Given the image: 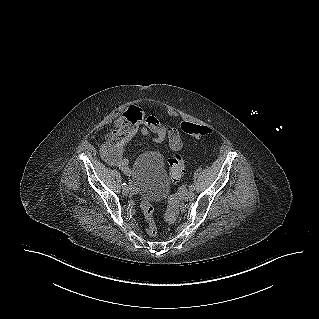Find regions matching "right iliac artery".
Masks as SVG:
<instances>
[{
    "label": "right iliac artery",
    "mask_w": 319,
    "mask_h": 319,
    "mask_svg": "<svg viewBox=\"0 0 319 319\" xmlns=\"http://www.w3.org/2000/svg\"><path fill=\"white\" fill-rule=\"evenodd\" d=\"M122 186H123V187H126V186H127V184H126V183H123V184H122Z\"/></svg>",
    "instance_id": "obj_1"
}]
</instances>
